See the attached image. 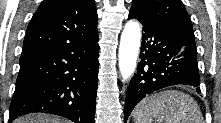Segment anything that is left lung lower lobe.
<instances>
[{"label": "left lung lower lobe", "instance_id": "1", "mask_svg": "<svg viewBox=\"0 0 221 123\" xmlns=\"http://www.w3.org/2000/svg\"><path fill=\"white\" fill-rule=\"evenodd\" d=\"M128 18L138 19L144 33L140 62L126 95L125 122L136 104L158 89L183 84L200 91L195 40L152 21L134 7Z\"/></svg>", "mask_w": 221, "mask_h": 123}]
</instances>
